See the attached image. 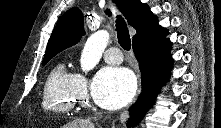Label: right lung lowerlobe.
Instances as JSON below:
<instances>
[{"instance_id":"1","label":"right lung lower lobe","mask_w":221,"mask_h":128,"mask_svg":"<svg viewBox=\"0 0 221 128\" xmlns=\"http://www.w3.org/2000/svg\"><path fill=\"white\" fill-rule=\"evenodd\" d=\"M172 43L169 39L144 44H133L134 54L139 62L142 75L143 90L141 96L131 110V118L127 122V126L137 124L154 104L160 87L165 84L170 76L172 67V56L168 49Z\"/></svg>"}]
</instances>
